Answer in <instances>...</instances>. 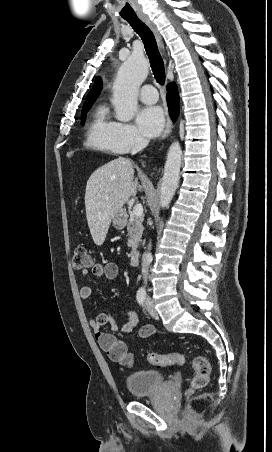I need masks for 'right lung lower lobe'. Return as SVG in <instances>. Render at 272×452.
<instances>
[{
	"label": "right lung lower lobe",
	"mask_w": 272,
	"mask_h": 452,
	"mask_svg": "<svg viewBox=\"0 0 272 452\" xmlns=\"http://www.w3.org/2000/svg\"><path fill=\"white\" fill-rule=\"evenodd\" d=\"M167 103L170 110L171 118L175 119L179 111V96L176 85L174 83H170L167 85Z\"/></svg>",
	"instance_id": "1"
}]
</instances>
